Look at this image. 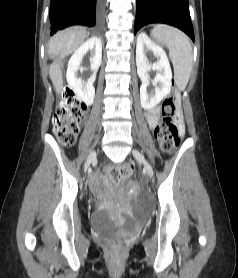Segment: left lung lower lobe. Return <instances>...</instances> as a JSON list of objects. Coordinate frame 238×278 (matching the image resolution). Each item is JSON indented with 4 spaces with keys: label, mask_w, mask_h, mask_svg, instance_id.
<instances>
[{
    "label": "left lung lower lobe",
    "mask_w": 238,
    "mask_h": 278,
    "mask_svg": "<svg viewBox=\"0 0 238 278\" xmlns=\"http://www.w3.org/2000/svg\"><path fill=\"white\" fill-rule=\"evenodd\" d=\"M151 23H165L184 31L194 41L188 0H137L134 34Z\"/></svg>",
    "instance_id": "1"
}]
</instances>
